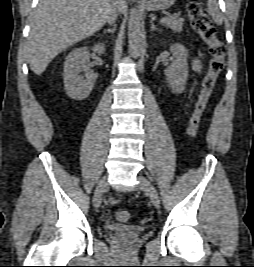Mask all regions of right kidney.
<instances>
[{
  "label": "right kidney",
  "instance_id": "1",
  "mask_svg": "<svg viewBox=\"0 0 254 267\" xmlns=\"http://www.w3.org/2000/svg\"><path fill=\"white\" fill-rule=\"evenodd\" d=\"M92 50L102 54L105 51L103 43H98ZM90 51L87 47L73 50L65 58L64 62V89L66 94L73 100H84L91 93L96 75L90 69ZM83 72V75H79Z\"/></svg>",
  "mask_w": 254,
  "mask_h": 267
}]
</instances>
